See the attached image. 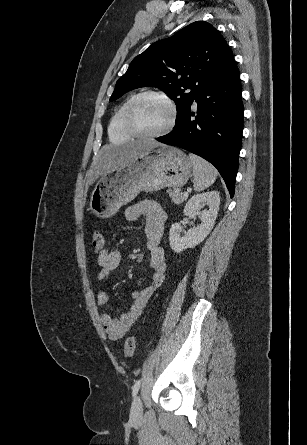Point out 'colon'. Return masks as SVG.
Instances as JSON below:
<instances>
[{"label": "colon", "mask_w": 307, "mask_h": 445, "mask_svg": "<svg viewBox=\"0 0 307 445\" xmlns=\"http://www.w3.org/2000/svg\"><path fill=\"white\" fill-rule=\"evenodd\" d=\"M92 246L96 251H102L104 249V236L100 230H95L92 234ZM136 347V336H129L124 344V354L127 358H131L134 355Z\"/></svg>", "instance_id": "colon-1"}]
</instances>
